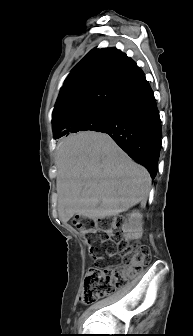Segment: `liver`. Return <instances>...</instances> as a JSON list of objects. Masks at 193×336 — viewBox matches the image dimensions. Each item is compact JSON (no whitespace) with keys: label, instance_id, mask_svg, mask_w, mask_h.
<instances>
[{"label":"liver","instance_id":"liver-1","mask_svg":"<svg viewBox=\"0 0 193 336\" xmlns=\"http://www.w3.org/2000/svg\"><path fill=\"white\" fill-rule=\"evenodd\" d=\"M55 165L63 223L74 215L93 220L115 216L146 203L148 171L107 134L86 131L69 136L57 147Z\"/></svg>","mask_w":193,"mask_h":336}]
</instances>
